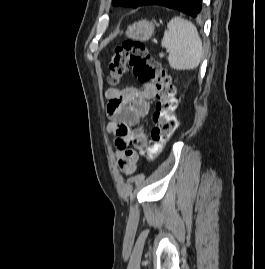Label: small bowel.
I'll use <instances>...</instances> for the list:
<instances>
[{
  "label": "small bowel",
  "instance_id": "1",
  "mask_svg": "<svg viewBox=\"0 0 265 269\" xmlns=\"http://www.w3.org/2000/svg\"><path fill=\"white\" fill-rule=\"evenodd\" d=\"M155 94L156 88L152 83H145L140 88L133 86L108 88L104 92L107 99L106 111L111 119L107 129L117 135L115 148L118 166L126 175L134 172L139 157L138 150L147 142L145 133L138 132L135 138L136 145L132 147L130 130L140 126L141 120L152 108ZM121 126L128 129L127 135L117 133Z\"/></svg>",
  "mask_w": 265,
  "mask_h": 269
}]
</instances>
